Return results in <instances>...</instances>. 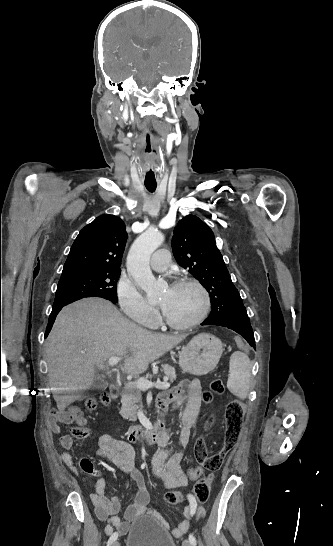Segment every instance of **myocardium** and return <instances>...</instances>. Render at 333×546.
Segmentation results:
<instances>
[{
    "mask_svg": "<svg viewBox=\"0 0 333 546\" xmlns=\"http://www.w3.org/2000/svg\"><path fill=\"white\" fill-rule=\"evenodd\" d=\"M186 285L194 286L200 292L202 296V300H203L202 307L200 309L199 314L193 320L186 323L175 322L163 312L164 323L170 328H173L176 330H189L198 326L206 319L211 309L210 294L208 290L206 289V287L199 280L192 277H183L176 280L173 283L172 287H180V286H186Z\"/></svg>",
    "mask_w": 333,
    "mask_h": 546,
    "instance_id": "f54148a6",
    "label": "myocardium"
}]
</instances>
